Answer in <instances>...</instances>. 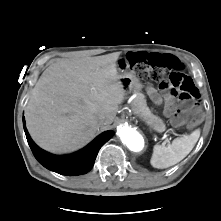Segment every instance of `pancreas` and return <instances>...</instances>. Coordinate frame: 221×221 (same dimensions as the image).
Here are the masks:
<instances>
[{"mask_svg":"<svg viewBox=\"0 0 221 221\" xmlns=\"http://www.w3.org/2000/svg\"><path fill=\"white\" fill-rule=\"evenodd\" d=\"M131 106L133 112L145 120L146 123L153 129L159 132L165 129L163 120L151 113L143 94H138L137 97L133 100Z\"/></svg>","mask_w":221,"mask_h":221,"instance_id":"cf45deb5","label":"pancreas"}]
</instances>
